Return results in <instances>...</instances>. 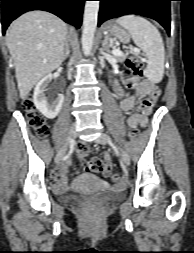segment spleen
Masks as SVG:
<instances>
[{"label": "spleen", "mask_w": 194, "mask_h": 253, "mask_svg": "<svg viewBox=\"0 0 194 253\" xmlns=\"http://www.w3.org/2000/svg\"><path fill=\"white\" fill-rule=\"evenodd\" d=\"M117 23L128 30L134 43L147 57L146 77L159 83L164 74L165 49L158 29L148 20L134 15L122 16Z\"/></svg>", "instance_id": "obj_1"}]
</instances>
